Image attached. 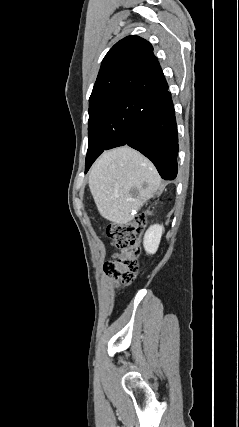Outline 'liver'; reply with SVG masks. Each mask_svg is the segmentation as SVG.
<instances>
[{"mask_svg":"<svg viewBox=\"0 0 239 427\" xmlns=\"http://www.w3.org/2000/svg\"><path fill=\"white\" fill-rule=\"evenodd\" d=\"M89 188L100 215L120 225L133 220L147 200L163 191L154 165L128 146L98 158L90 171Z\"/></svg>","mask_w":239,"mask_h":427,"instance_id":"liver-1","label":"liver"}]
</instances>
